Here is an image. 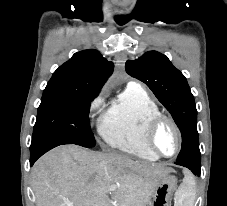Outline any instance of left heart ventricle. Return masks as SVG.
I'll use <instances>...</instances> for the list:
<instances>
[{"label": "left heart ventricle", "instance_id": "b2bd125f", "mask_svg": "<svg viewBox=\"0 0 227 206\" xmlns=\"http://www.w3.org/2000/svg\"><path fill=\"white\" fill-rule=\"evenodd\" d=\"M154 142L161 153L173 154L177 147V137L173 128L168 123L161 124L155 133Z\"/></svg>", "mask_w": 227, "mask_h": 206}]
</instances>
